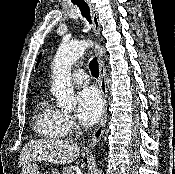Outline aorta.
Instances as JSON below:
<instances>
[{
	"instance_id": "762f6f07",
	"label": "aorta",
	"mask_w": 175,
	"mask_h": 174,
	"mask_svg": "<svg viewBox=\"0 0 175 174\" xmlns=\"http://www.w3.org/2000/svg\"><path fill=\"white\" fill-rule=\"evenodd\" d=\"M91 46L93 43L85 40L64 43L60 45L55 55L52 63L53 84L51 90L57 103L66 109L76 107V98L70 78L71 66ZM95 48L100 51V54L103 53L98 45ZM98 174H102V171H98Z\"/></svg>"
}]
</instances>
